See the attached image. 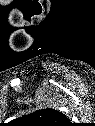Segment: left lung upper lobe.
<instances>
[{"label": "left lung upper lobe", "mask_w": 95, "mask_h": 126, "mask_svg": "<svg viewBox=\"0 0 95 126\" xmlns=\"http://www.w3.org/2000/svg\"><path fill=\"white\" fill-rule=\"evenodd\" d=\"M18 121L23 126H66L68 119L62 112L48 108L22 116Z\"/></svg>", "instance_id": "5c2ea615"}]
</instances>
